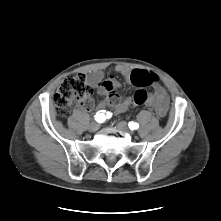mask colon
I'll return each instance as SVG.
<instances>
[{"mask_svg": "<svg viewBox=\"0 0 221 221\" xmlns=\"http://www.w3.org/2000/svg\"><path fill=\"white\" fill-rule=\"evenodd\" d=\"M131 80L137 87H140L134 93V103L136 105L145 104L148 99V93L143 87L155 82L157 76L134 70L131 74ZM91 94V87L87 84L82 74L75 73L67 76L55 94L54 101L57 113L64 116L72 106L77 104H81L84 108L89 109L92 106Z\"/></svg>", "mask_w": 221, "mask_h": 221, "instance_id": "colon-1", "label": "colon"}]
</instances>
